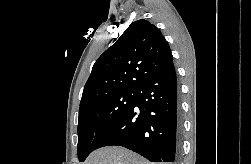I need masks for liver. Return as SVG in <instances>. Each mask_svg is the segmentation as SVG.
<instances>
[{
  "instance_id": "liver-1",
  "label": "liver",
  "mask_w": 251,
  "mask_h": 164,
  "mask_svg": "<svg viewBox=\"0 0 251 164\" xmlns=\"http://www.w3.org/2000/svg\"><path fill=\"white\" fill-rule=\"evenodd\" d=\"M84 164H151L123 147L109 146L92 152Z\"/></svg>"
}]
</instances>
